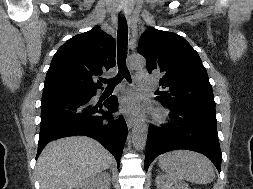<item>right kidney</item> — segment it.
<instances>
[{
    "label": "right kidney",
    "mask_w": 253,
    "mask_h": 189,
    "mask_svg": "<svg viewBox=\"0 0 253 189\" xmlns=\"http://www.w3.org/2000/svg\"><path fill=\"white\" fill-rule=\"evenodd\" d=\"M76 189H110V175L107 172L96 174L81 182Z\"/></svg>",
    "instance_id": "1"
}]
</instances>
